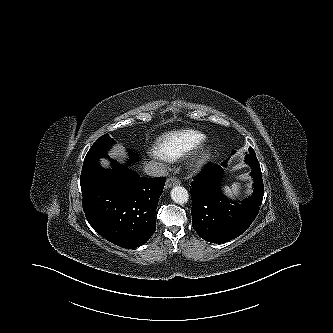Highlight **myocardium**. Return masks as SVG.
Masks as SVG:
<instances>
[{
  "label": "myocardium",
  "mask_w": 333,
  "mask_h": 333,
  "mask_svg": "<svg viewBox=\"0 0 333 333\" xmlns=\"http://www.w3.org/2000/svg\"><path fill=\"white\" fill-rule=\"evenodd\" d=\"M211 155V147L208 145L201 146L192 156L190 167L192 169H201L209 161Z\"/></svg>",
  "instance_id": "obj_1"
}]
</instances>
